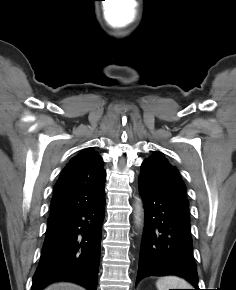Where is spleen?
<instances>
[{"instance_id": "3e777b00", "label": "spleen", "mask_w": 236, "mask_h": 290, "mask_svg": "<svg viewBox=\"0 0 236 290\" xmlns=\"http://www.w3.org/2000/svg\"><path fill=\"white\" fill-rule=\"evenodd\" d=\"M156 287L158 290L190 289L191 285L180 277L164 276L157 280Z\"/></svg>"}]
</instances>
